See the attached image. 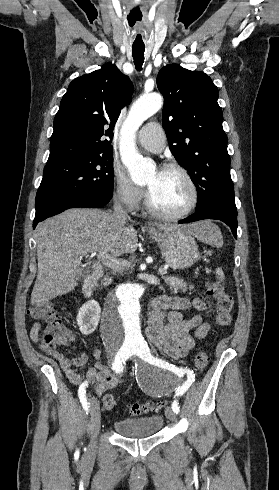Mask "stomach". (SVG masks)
<instances>
[{"mask_svg": "<svg viewBox=\"0 0 279 490\" xmlns=\"http://www.w3.org/2000/svg\"><path fill=\"white\" fill-rule=\"evenodd\" d=\"M148 234L158 242L161 254L172 270H187L200 260L199 248L191 234L178 230H148Z\"/></svg>", "mask_w": 279, "mask_h": 490, "instance_id": "stomach-1", "label": "stomach"}]
</instances>
